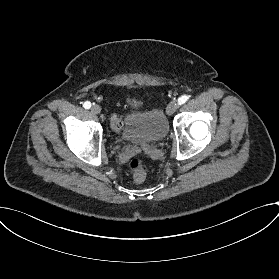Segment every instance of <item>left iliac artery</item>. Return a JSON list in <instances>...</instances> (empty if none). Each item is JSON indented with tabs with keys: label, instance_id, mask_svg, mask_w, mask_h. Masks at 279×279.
<instances>
[{
	"label": "left iliac artery",
	"instance_id": "left-iliac-artery-1",
	"mask_svg": "<svg viewBox=\"0 0 279 279\" xmlns=\"http://www.w3.org/2000/svg\"><path fill=\"white\" fill-rule=\"evenodd\" d=\"M188 99H189V97L186 96V95L181 96V97L178 99V105L184 104Z\"/></svg>",
	"mask_w": 279,
	"mask_h": 279
}]
</instances>
